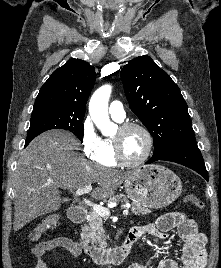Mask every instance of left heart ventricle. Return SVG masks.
Wrapping results in <instances>:
<instances>
[{"label":"left heart ventricle","instance_id":"b2bd125f","mask_svg":"<svg viewBox=\"0 0 221 268\" xmlns=\"http://www.w3.org/2000/svg\"><path fill=\"white\" fill-rule=\"evenodd\" d=\"M120 143L123 155L129 160L139 159L145 152L147 140L144 133L139 129L120 131L114 136Z\"/></svg>","mask_w":221,"mask_h":268}]
</instances>
